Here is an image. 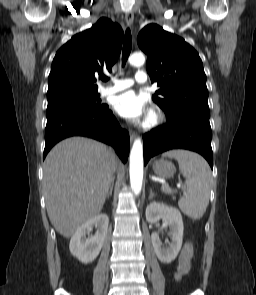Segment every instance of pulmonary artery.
I'll return each mask as SVG.
<instances>
[{
  "label": "pulmonary artery",
  "instance_id": "obj_1",
  "mask_svg": "<svg viewBox=\"0 0 256 295\" xmlns=\"http://www.w3.org/2000/svg\"><path fill=\"white\" fill-rule=\"evenodd\" d=\"M134 82H137L139 84H144L147 82V74L145 71L139 70L135 74L134 79L131 78H123L116 80L113 85L103 87L100 89V93L102 95H111L120 91H123L125 89L130 88Z\"/></svg>",
  "mask_w": 256,
  "mask_h": 295
}]
</instances>
